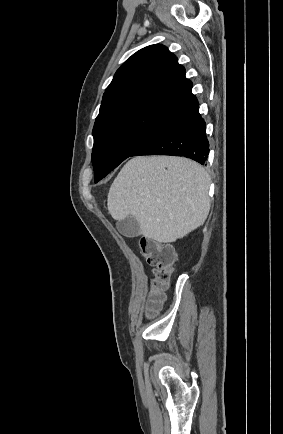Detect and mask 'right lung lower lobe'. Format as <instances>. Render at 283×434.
Returning <instances> with one entry per match:
<instances>
[{
    "label": "right lung lower lobe",
    "instance_id": "98d812e1",
    "mask_svg": "<svg viewBox=\"0 0 283 434\" xmlns=\"http://www.w3.org/2000/svg\"><path fill=\"white\" fill-rule=\"evenodd\" d=\"M209 154L206 123L199 114V105L171 120L147 140L131 156L172 155L191 158L204 164Z\"/></svg>",
    "mask_w": 283,
    "mask_h": 434
}]
</instances>
